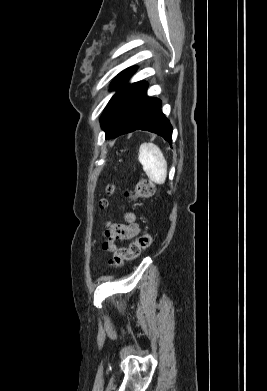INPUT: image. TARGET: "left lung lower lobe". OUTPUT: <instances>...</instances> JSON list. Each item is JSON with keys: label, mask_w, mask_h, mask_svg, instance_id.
Masks as SVG:
<instances>
[{"label": "left lung lower lobe", "mask_w": 267, "mask_h": 391, "mask_svg": "<svg viewBox=\"0 0 267 391\" xmlns=\"http://www.w3.org/2000/svg\"><path fill=\"white\" fill-rule=\"evenodd\" d=\"M147 83L140 82L119 104L108 127L106 138L145 130L172 143V126L161 112V101L146 95Z\"/></svg>", "instance_id": "1"}]
</instances>
